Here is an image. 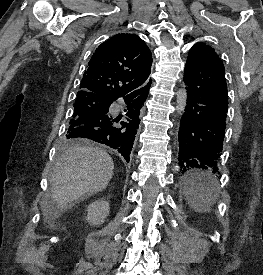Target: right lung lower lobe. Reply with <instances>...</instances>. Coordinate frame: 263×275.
Instances as JSON below:
<instances>
[{
    "label": "right lung lower lobe",
    "mask_w": 263,
    "mask_h": 275,
    "mask_svg": "<svg viewBox=\"0 0 263 275\" xmlns=\"http://www.w3.org/2000/svg\"><path fill=\"white\" fill-rule=\"evenodd\" d=\"M150 84L151 82L135 93L124 97L128 104L124 121L117 124L120 118L114 119L108 114L109 109L104 113L85 114L69 123L66 136L87 138L107 145L116 149L129 162V155L140 123V109L148 96ZM117 99L109 101L110 105Z\"/></svg>",
    "instance_id": "obj_1"
}]
</instances>
